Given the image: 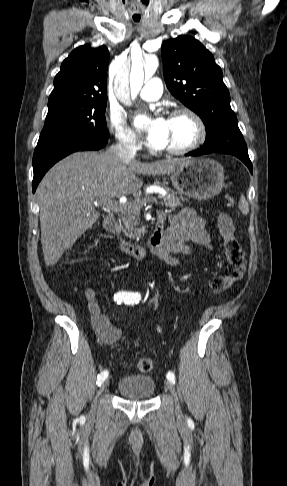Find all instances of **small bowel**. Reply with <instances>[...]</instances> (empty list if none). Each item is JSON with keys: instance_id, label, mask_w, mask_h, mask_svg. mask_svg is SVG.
<instances>
[{"instance_id": "small-bowel-1", "label": "small bowel", "mask_w": 287, "mask_h": 486, "mask_svg": "<svg viewBox=\"0 0 287 486\" xmlns=\"http://www.w3.org/2000/svg\"><path fill=\"white\" fill-rule=\"evenodd\" d=\"M159 216L165 218L163 212H160ZM169 219L171 227L165 231L162 246L155 253L159 260L176 266L179 261L172 258L171 254H194L198 247H211L210 236L205 229V221L194 209L185 207L170 215ZM85 297L91 314L92 326L99 341L104 344L117 342L121 337V332L103 312L95 291L87 288Z\"/></svg>"}]
</instances>
